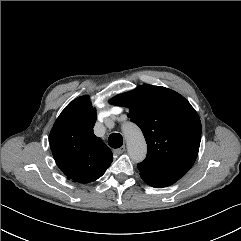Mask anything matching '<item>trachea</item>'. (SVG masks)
Returning <instances> with one entry per match:
<instances>
[{"label": "trachea", "mask_w": 241, "mask_h": 241, "mask_svg": "<svg viewBox=\"0 0 241 241\" xmlns=\"http://www.w3.org/2000/svg\"><path fill=\"white\" fill-rule=\"evenodd\" d=\"M108 144L112 148H119L123 145V137L119 133H113L109 136Z\"/></svg>", "instance_id": "3493384b"}]
</instances>
